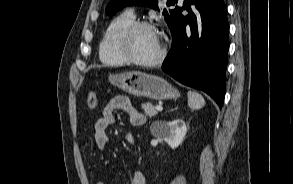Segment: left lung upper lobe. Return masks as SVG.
Wrapping results in <instances>:
<instances>
[{
	"label": "left lung upper lobe",
	"instance_id": "5c2ea615",
	"mask_svg": "<svg viewBox=\"0 0 293 184\" xmlns=\"http://www.w3.org/2000/svg\"><path fill=\"white\" fill-rule=\"evenodd\" d=\"M178 0H168L167 6H172L177 3ZM129 5H139V6H147L153 8L155 10H161L162 7L158 4V0H111L106 8V13L108 15H114L117 11L123 9L125 6ZM175 9H168L164 8L163 14L165 16V20L170 26L172 22V18L174 16Z\"/></svg>",
	"mask_w": 293,
	"mask_h": 184
}]
</instances>
